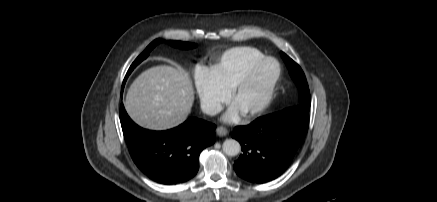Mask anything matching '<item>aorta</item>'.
<instances>
[{
    "instance_id": "1",
    "label": "aorta",
    "mask_w": 437,
    "mask_h": 202,
    "mask_svg": "<svg viewBox=\"0 0 437 202\" xmlns=\"http://www.w3.org/2000/svg\"><path fill=\"white\" fill-rule=\"evenodd\" d=\"M223 152L228 156H236L241 151V146L234 139H227L222 145Z\"/></svg>"
}]
</instances>
